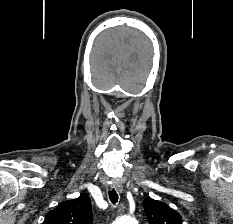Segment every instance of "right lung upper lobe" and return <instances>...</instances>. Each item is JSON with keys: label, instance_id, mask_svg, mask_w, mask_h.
Segmentation results:
<instances>
[{"label": "right lung upper lobe", "instance_id": "1", "mask_svg": "<svg viewBox=\"0 0 233 224\" xmlns=\"http://www.w3.org/2000/svg\"><path fill=\"white\" fill-rule=\"evenodd\" d=\"M43 224H92L91 201L87 195L64 201L46 214Z\"/></svg>", "mask_w": 233, "mask_h": 224}]
</instances>
